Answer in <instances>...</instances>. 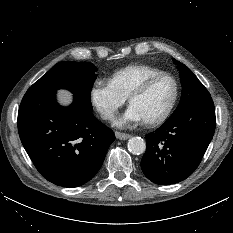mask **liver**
Instances as JSON below:
<instances>
[{
  "instance_id": "liver-1",
  "label": "liver",
  "mask_w": 233,
  "mask_h": 233,
  "mask_svg": "<svg viewBox=\"0 0 233 233\" xmlns=\"http://www.w3.org/2000/svg\"><path fill=\"white\" fill-rule=\"evenodd\" d=\"M58 102L62 106H69L72 102V93L70 91L61 89L57 91Z\"/></svg>"
}]
</instances>
